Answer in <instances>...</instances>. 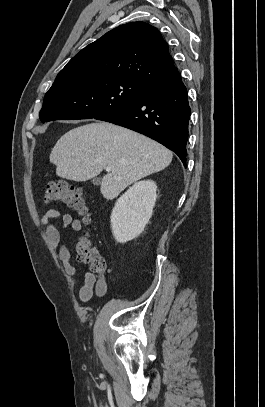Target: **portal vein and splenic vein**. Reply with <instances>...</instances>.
<instances>
[{
    "instance_id": "obj_1",
    "label": "portal vein and splenic vein",
    "mask_w": 265,
    "mask_h": 407,
    "mask_svg": "<svg viewBox=\"0 0 265 407\" xmlns=\"http://www.w3.org/2000/svg\"><path fill=\"white\" fill-rule=\"evenodd\" d=\"M106 171H107V172H110V171H111V167L107 166V167H106Z\"/></svg>"
}]
</instances>
